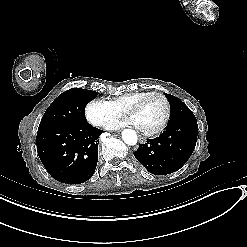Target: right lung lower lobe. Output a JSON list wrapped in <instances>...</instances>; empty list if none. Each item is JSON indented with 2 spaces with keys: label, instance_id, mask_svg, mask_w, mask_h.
<instances>
[{
  "label": "right lung lower lobe",
  "instance_id": "obj_1",
  "mask_svg": "<svg viewBox=\"0 0 247 247\" xmlns=\"http://www.w3.org/2000/svg\"><path fill=\"white\" fill-rule=\"evenodd\" d=\"M102 132L88 123L40 128L36 136L39 158L57 181L83 183L95 172Z\"/></svg>",
  "mask_w": 247,
  "mask_h": 247
}]
</instances>
